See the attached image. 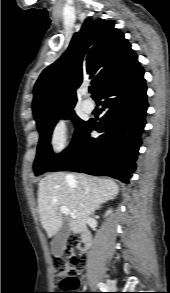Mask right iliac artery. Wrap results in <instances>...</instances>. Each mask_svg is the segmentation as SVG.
<instances>
[{
    "mask_svg": "<svg viewBox=\"0 0 170 293\" xmlns=\"http://www.w3.org/2000/svg\"><path fill=\"white\" fill-rule=\"evenodd\" d=\"M98 287L103 291V292H106L108 290V287L106 284L100 282L98 283Z\"/></svg>",
    "mask_w": 170,
    "mask_h": 293,
    "instance_id": "obj_1",
    "label": "right iliac artery"
}]
</instances>
